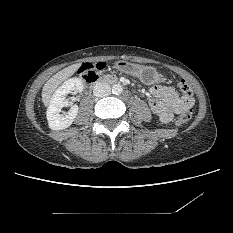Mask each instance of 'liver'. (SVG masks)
Here are the masks:
<instances>
[{"mask_svg":"<svg viewBox=\"0 0 233 233\" xmlns=\"http://www.w3.org/2000/svg\"><path fill=\"white\" fill-rule=\"evenodd\" d=\"M81 66L80 63L70 65L61 71L53 75L43 86L42 89V102L45 106H48L52 94L55 92L57 87L67 78L72 76L78 68Z\"/></svg>","mask_w":233,"mask_h":233,"instance_id":"1","label":"liver"}]
</instances>
